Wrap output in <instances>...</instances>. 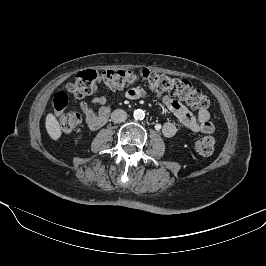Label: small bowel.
<instances>
[{"instance_id":"obj_1","label":"small bowel","mask_w":266,"mask_h":266,"mask_svg":"<svg viewBox=\"0 0 266 266\" xmlns=\"http://www.w3.org/2000/svg\"><path fill=\"white\" fill-rule=\"evenodd\" d=\"M126 97L131 100H136L145 95V92L140 87H132L126 91ZM163 103L178 119V121L187 129L203 134H211L214 132V125L210 121L208 110L198 112L195 117L182 103L167 96H161ZM91 104L97 106L95 110L87 102L80 103V109L84 114L85 122L90 130H97L105 124L109 114L107 99L104 96H96L92 99ZM177 132L174 123L166 122L162 127V133L165 137L171 138Z\"/></svg>"}]
</instances>
